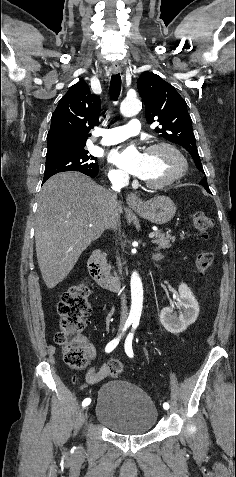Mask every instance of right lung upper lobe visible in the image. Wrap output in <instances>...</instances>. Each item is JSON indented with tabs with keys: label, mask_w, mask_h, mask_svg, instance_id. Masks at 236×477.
Listing matches in <instances>:
<instances>
[{
	"label": "right lung upper lobe",
	"mask_w": 236,
	"mask_h": 477,
	"mask_svg": "<svg viewBox=\"0 0 236 477\" xmlns=\"http://www.w3.org/2000/svg\"><path fill=\"white\" fill-rule=\"evenodd\" d=\"M101 101L85 81L70 87L51 118L46 161L74 154L86 145L89 131L98 125Z\"/></svg>",
	"instance_id": "obj_1"
}]
</instances>
